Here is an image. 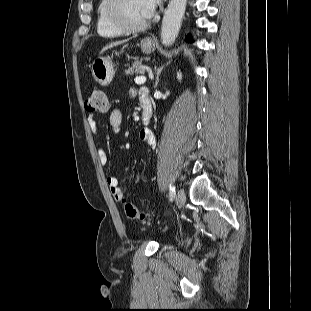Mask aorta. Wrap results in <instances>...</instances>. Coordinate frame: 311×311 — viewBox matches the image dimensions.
<instances>
[{
  "label": "aorta",
  "instance_id": "obj_1",
  "mask_svg": "<svg viewBox=\"0 0 311 311\" xmlns=\"http://www.w3.org/2000/svg\"><path fill=\"white\" fill-rule=\"evenodd\" d=\"M187 0H170L161 26V41L165 46L174 43L181 28Z\"/></svg>",
  "mask_w": 311,
  "mask_h": 311
}]
</instances>
